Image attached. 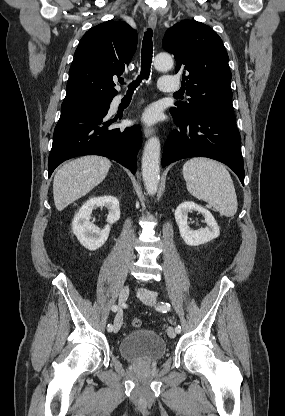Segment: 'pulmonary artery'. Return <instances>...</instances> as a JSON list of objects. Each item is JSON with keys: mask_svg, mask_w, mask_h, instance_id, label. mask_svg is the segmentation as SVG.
Instances as JSON below:
<instances>
[{"mask_svg": "<svg viewBox=\"0 0 285 416\" xmlns=\"http://www.w3.org/2000/svg\"><path fill=\"white\" fill-rule=\"evenodd\" d=\"M174 76L165 75L159 79V88L162 91L168 92L170 96H175L177 94V90L180 88V82L178 79H174ZM171 80H175L174 83H168ZM123 95H117L112 101V108L116 109L120 104Z\"/></svg>", "mask_w": 285, "mask_h": 416, "instance_id": "obj_1", "label": "pulmonary artery"}]
</instances>
